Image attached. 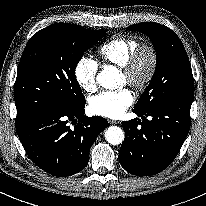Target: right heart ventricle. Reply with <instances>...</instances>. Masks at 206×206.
I'll use <instances>...</instances> for the list:
<instances>
[{"label":"right heart ventricle","instance_id":"right-heart-ventricle-1","mask_svg":"<svg viewBox=\"0 0 206 206\" xmlns=\"http://www.w3.org/2000/svg\"><path fill=\"white\" fill-rule=\"evenodd\" d=\"M138 44L139 39L135 37L117 36L102 44L98 54L104 63L122 68Z\"/></svg>","mask_w":206,"mask_h":206}]
</instances>
